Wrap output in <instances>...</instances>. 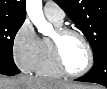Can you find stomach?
Segmentation results:
<instances>
[{
    "label": "stomach",
    "instance_id": "obj_1",
    "mask_svg": "<svg viewBox=\"0 0 107 89\" xmlns=\"http://www.w3.org/2000/svg\"><path fill=\"white\" fill-rule=\"evenodd\" d=\"M68 89H79V88L70 86V87H68Z\"/></svg>",
    "mask_w": 107,
    "mask_h": 89
}]
</instances>
